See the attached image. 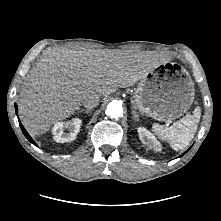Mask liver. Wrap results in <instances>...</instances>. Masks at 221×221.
<instances>
[{"mask_svg": "<svg viewBox=\"0 0 221 221\" xmlns=\"http://www.w3.org/2000/svg\"><path fill=\"white\" fill-rule=\"evenodd\" d=\"M162 60L151 52L93 48L48 52L29 72L21 89L19 113L34 135L75 113L90 94L106 97L130 87Z\"/></svg>", "mask_w": 221, "mask_h": 221, "instance_id": "liver-1", "label": "liver"}]
</instances>
